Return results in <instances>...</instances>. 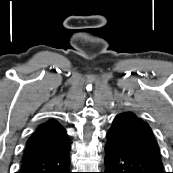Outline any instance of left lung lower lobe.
I'll return each instance as SVG.
<instances>
[{
  "label": "left lung lower lobe",
  "instance_id": "left-lung-lower-lobe-1",
  "mask_svg": "<svg viewBox=\"0 0 173 173\" xmlns=\"http://www.w3.org/2000/svg\"><path fill=\"white\" fill-rule=\"evenodd\" d=\"M105 154L104 173H165L161 160L141 153L107 143Z\"/></svg>",
  "mask_w": 173,
  "mask_h": 173
}]
</instances>
